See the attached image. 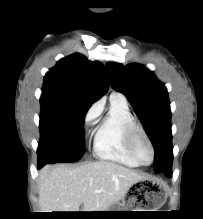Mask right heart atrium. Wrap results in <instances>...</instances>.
I'll return each mask as SVG.
<instances>
[{
	"label": "right heart atrium",
	"mask_w": 203,
	"mask_h": 219,
	"mask_svg": "<svg viewBox=\"0 0 203 219\" xmlns=\"http://www.w3.org/2000/svg\"><path fill=\"white\" fill-rule=\"evenodd\" d=\"M100 114V107L97 104H94L90 107L84 117V127L86 131H89L90 128L95 123L96 119Z\"/></svg>",
	"instance_id": "right-heart-atrium-1"
}]
</instances>
